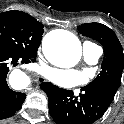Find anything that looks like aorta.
I'll list each match as a JSON object with an SVG mask.
<instances>
[{
    "label": "aorta",
    "instance_id": "762f6f07",
    "mask_svg": "<svg viewBox=\"0 0 124 124\" xmlns=\"http://www.w3.org/2000/svg\"><path fill=\"white\" fill-rule=\"evenodd\" d=\"M42 50L46 59L59 67L76 65L82 53L79 39L65 30H53L47 33L42 41Z\"/></svg>",
    "mask_w": 124,
    "mask_h": 124
}]
</instances>
